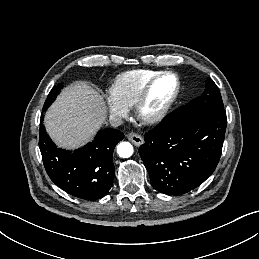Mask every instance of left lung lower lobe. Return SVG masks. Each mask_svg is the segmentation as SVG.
<instances>
[{"label":"left lung lower lobe","instance_id":"0a47b994","mask_svg":"<svg viewBox=\"0 0 259 259\" xmlns=\"http://www.w3.org/2000/svg\"><path fill=\"white\" fill-rule=\"evenodd\" d=\"M226 125L225 109L196 108L147 132L139 154L153 188L180 195L201 185L219 162Z\"/></svg>","mask_w":259,"mask_h":259}]
</instances>
